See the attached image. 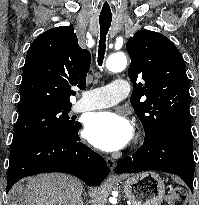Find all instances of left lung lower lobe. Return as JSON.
Wrapping results in <instances>:
<instances>
[{
  "label": "left lung lower lobe",
  "instance_id": "1",
  "mask_svg": "<svg viewBox=\"0 0 199 205\" xmlns=\"http://www.w3.org/2000/svg\"><path fill=\"white\" fill-rule=\"evenodd\" d=\"M194 169L191 127L175 126L159 136H145L142 147L132 157L118 160L115 173L159 170L176 174L193 192Z\"/></svg>",
  "mask_w": 199,
  "mask_h": 205
}]
</instances>
